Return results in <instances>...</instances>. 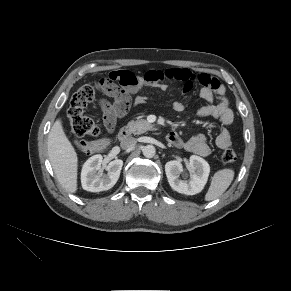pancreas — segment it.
Masks as SVG:
<instances>
[{"label": "pancreas", "instance_id": "cf45deb5", "mask_svg": "<svg viewBox=\"0 0 291 291\" xmlns=\"http://www.w3.org/2000/svg\"><path fill=\"white\" fill-rule=\"evenodd\" d=\"M126 128L134 135H139L145 133L148 130H151L153 125L147 122L145 119H139L136 121L131 120L128 122Z\"/></svg>", "mask_w": 291, "mask_h": 291}]
</instances>
